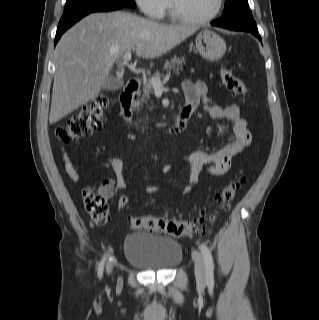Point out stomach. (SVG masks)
<instances>
[{"label":"stomach","instance_id":"1","mask_svg":"<svg viewBox=\"0 0 319 320\" xmlns=\"http://www.w3.org/2000/svg\"><path fill=\"white\" fill-rule=\"evenodd\" d=\"M195 44L200 55L209 61L219 60L227 49L220 35L209 29H204L197 35Z\"/></svg>","mask_w":319,"mask_h":320}]
</instances>
